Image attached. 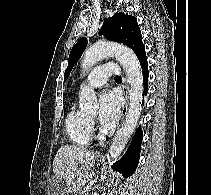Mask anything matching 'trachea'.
I'll return each mask as SVG.
<instances>
[{"instance_id": "3493384b", "label": "trachea", "mask_w": 211, "mask_h": 195, "mask_svg": "<svg viewBox=\"0 0 211 195\" xmlns=\"http://www.w3.org/2000/svg\"><path fill=\"white\" fill-rule=\"evenodd\" d=\"M115 80H116V81H122V78H121L120 76L116 75V76H115Z\"/></svg>"}]
</instances>
